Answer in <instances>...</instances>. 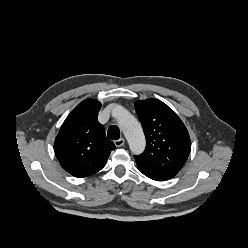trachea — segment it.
Wrapping results in <instances>:
<instances>
[{
	"label": "trachea",
	"instance_id": "trachea-1",
	"mask_svg": "<svg viewBox=\"0 0 248 248\" xmlns=\"http://www.w3.org/2000/svg\"><path fill=\"white\" fill-rule=\"evenodd\" d=\"M107 136L111 140H118L120 138V130L117 126L112 125L109 127Z\"/></svg>",
	"mask_w": 248,
	"mask_h": 248
}]
</instances>
